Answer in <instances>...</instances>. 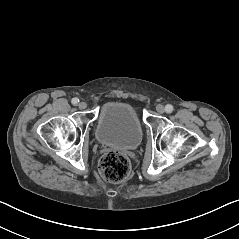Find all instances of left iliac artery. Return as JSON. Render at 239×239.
Here are the masks:
<instances>
[{"label": "left iliac artery", "instance_id": "left-iliac-artery-1", "mask_svg": "<svg viewBox=\"0 0 239 239\" xmlns=\"http://www.w3.org/2000/svg\"><path fill=\"white\" fill-rule=\"evenodd\" d=\"M165 111H166L167 113H171V112L173 111V106L170 105V104H167V105L165 106Z\"/></svg>", "mask_w": 239, "mask_h": 239}]
</instances>
